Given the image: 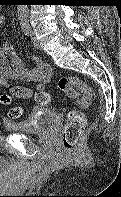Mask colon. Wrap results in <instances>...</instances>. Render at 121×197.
<instances>
[{
  "instance_id": "5ec220e1",
  "label": "colon",
  "mask_w": 121,
  "mask_h": 197,
  "mask_svg": "<svg viewBox=\"0 0 121 197\" xmlns=\"http://www.w3.org/2000/svg\"><path fill=\"white\" fill-rule=\"evenodd\" d=\"M57 86L69 99H76L80 97L79 106L81 108L89 107L93 101V94L90 86L76 77H60L58 79ZM12 93L15 95H25L28 92L24 88L14 87L12 89ZM35 97L41 105H48L51 102L49 94L43 91H38ZM1 101L4 104H9L11 99L8 95H3L1 97ZM21 114L22 110L19 107H13L8 112L10 117H19ZM84 127L85 119L83 114L78 110L70 111L62 133V144L66 150L71 151L76 147L83 133Z\"/></svg>"
}]
</instances>
